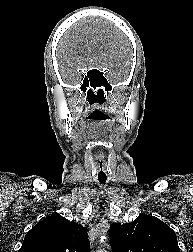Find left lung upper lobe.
<instances>
[{"instance_id":"left-lung-upper-lobe-1","label":"left lung upper lobe","mask_w":193,"mask_h":252,"mask_svg":"<svg viewBox=\"0 0 193 252\" xmlns=\"http://www.w3.org/2000/svg\"><path fill=\"white\" fill-rule=\"evenodd\" d=\"M109 234L113 252H180L175 232L146 214L131 223H113Z\"/></svg>"}]
</instances>
